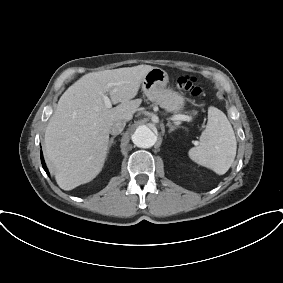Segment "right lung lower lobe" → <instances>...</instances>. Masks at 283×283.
Segmentation results:
<instances>
[{
  "instance_id": "right-lung-lower-lobe-1",
  "label": "right lung lower lobe",
  "mask_w": 283,
  "mask_h": 283,
  "mask_svg": "<svg viewBox=\"0 0 283 283\" xmlns=\"http://www.w3.org/2000/svg\"><path fill=\"white\" fill-rule=\"evenodd\" d=\"M40 155H41V163H42V166H43L44 170L46 171V173L49 174V173H48V169H47V167H46V165H45V162H44V159H43L42 152L40 153Z\"/></svg>"
}]
</instances>
